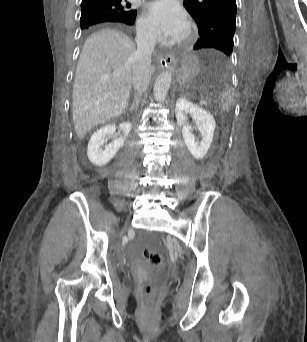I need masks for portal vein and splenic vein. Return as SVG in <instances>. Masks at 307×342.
<instances>
[{
	"instance_id": "18ae733b",
	"label": "portal vein and splenic vein",
	"mask_w": 307,
	"mask_h": 342,
	"mask_svg": "<svg viewBox=\"0 0 307 342\" xmlns=\"http://www.w3.org/2000/svg\"><path fill=\"white\" fill-rule=\"evenodd\" d=\"M110 74H102V78H109ZM196 95L198 96V100L201 102L203 99V95L201 91H197ZM202 106L205 104L203 101L200 103Z\"/></svg>"
}]
</instances>
